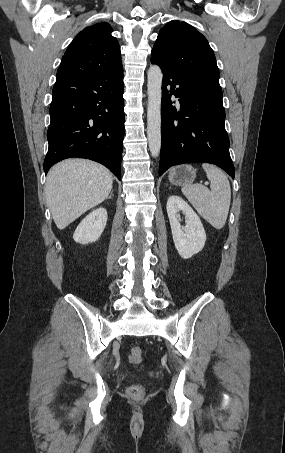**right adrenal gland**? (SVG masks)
<instances>
[{
	"label": "right adrenal gland",
	"instance_id": "1",
	"mask_svg": "<svg viewBox=\"0 0 285 453\" xmlns=\"http://www.w3.org/2000/svg\"><path fill=\"white\" fill-rule=\"evenodd\" d=\"M108 198H109V199H111V198H112V193L110 194V196H109Z\"/></svg>",
	"mask_w": 285,
	"mask_h": 453
}]
</instances>
